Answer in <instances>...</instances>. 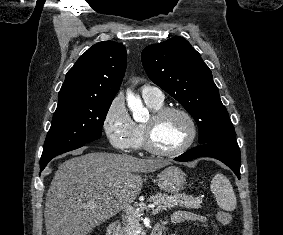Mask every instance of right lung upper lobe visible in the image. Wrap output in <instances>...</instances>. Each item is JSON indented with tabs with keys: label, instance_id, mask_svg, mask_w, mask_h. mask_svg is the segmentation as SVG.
Here are the masks:
<instances>
[{
	"label": "right lung upper lobe",
	"instance_id": "1",
	"mask_svg": "<svg viewBox=\"0 0 283 235\" xmlns=\"http://www.w3.org/2000/svg\"><path fill=\"white\" fill-rule=\"evenodd\" d=\"M124 45L104 41L93 45L67 72L58 102L83 98L113 100L126 69Z\"/></svg>",
	"mask_w": 283,
	"mask_h": 235
}]
</instances>
